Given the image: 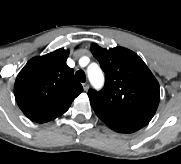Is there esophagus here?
Returning a JSON list of instances; mask_svg holds the SVG:
<instances>
[{"label": "esophagus", "instance_id": "obj_1", "mask_svg": "<svg viewBox=\"0 0 181 164\" xmlns=\"http://www.w3.org/2000/svg\"><path fill=\"white\" fill-rule=\"evenodd\" d=\"M82 85H83L84 91H88V89H89V83H88V82H85V83H83Z\"/></svg>", "mask_w": 181, "mask_h": 164}]
</instances>
